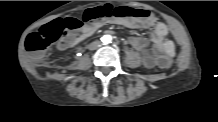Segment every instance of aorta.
Segmentation results:
<instances>
[{
  "label": "aorta",
  "mask_w": 218,
  "mask_h": 122,
  "mask_svg": "<svg viewBox=\"0 0 218 122\" xmlns=\"http://www.w3.org/2000/svg\"><path fill=\"white\" fill-rule=\"evenodd\" d=\"M101 41L103 44H109L112 41V37L110 35H104L103 37H101Z\"/></svg>",
  "instance_id": "1"
}]
</instances>
